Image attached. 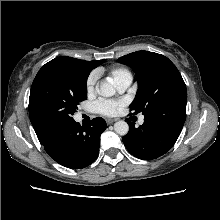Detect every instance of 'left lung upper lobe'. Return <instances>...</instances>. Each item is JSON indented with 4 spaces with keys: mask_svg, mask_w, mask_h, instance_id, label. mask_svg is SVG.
I'll use <instances>...</instances> for the list:
<instances>
[{
    "mask_svg": "<svg viewBox=\"0 0 220 220\" xmlns=\"http://www.w3.org/2000/svg\"><path fill=\"white\" fill-rule=\"evenodd\" d=\"M118 62L136 72L139 88L130 105L133 114L143 115L168 106L186 105L187 90L176 66L165 56L148 51H137L122 56Z\"/></svg>",
    "mask_w": 220,
    "mask_h": 220,
    "instance_id": "obj_1",
    "label": "left lung upper lobe"
}]
</instances>
